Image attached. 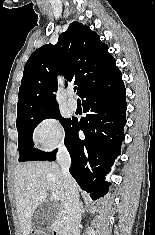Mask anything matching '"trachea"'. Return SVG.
<instances>
[{"mask_svg": "<svg viewBox=\"0 0 155 235\" xmlns=\"http://www.w3.org/2000/svg\"><path fill=\"white\" fill-rule=\"evenodd\" d=\"M74 91H76V87H74Z\"/></svg>", "mask_w": 155, "mask_h": 235, "instance_id": "obj_1", "label": "trachea"}]
</instances>
